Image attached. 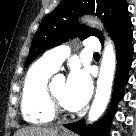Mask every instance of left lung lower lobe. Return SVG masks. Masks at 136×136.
Masks as SVG:
<instances>
[{"label": "left lung lower lobe", "mask_w": 136, "mask_h": 136, "mask_svg": "<svg viewBox=\"0 0 136 136\" xmlns=\"http://www.w3.org/2000/svg\"><path fill=\"white\" fill-rule=\"evenodd\" d=\"M115 43L117 53V67L114 83V92L111 100L110 108L106 116L93 125L85 126L84 120L64 125L73 132L82 136H108L109 127L116 107L120 99L123 97L124 88L128 81V72L132 64L133 34L131 31V19L127 16L119 27L111 35ZM103 43V41H102Z\"/></svg>", "instance_id": "0a47b994"}]
</instances>
